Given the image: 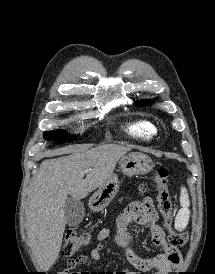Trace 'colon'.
I'll use <instances>...</instances> for the list:
<instances>
[{"mask_svg": "<svg viewBox=\"0 0 215 274\" xmlns=\"http://www.w3.org/2000/svg\"><path fill=\"white\" fill-rule=\"evenodd\" d=\"M169 171L164 165H160L155 174V185L157 188V201L159 210L164 218V225L169 230V242L176 246L182 247L187 243L188 237L183 232L175 231L172 227L174 204L168 185ZM89 241V237L84 233L76 230H68L65 235V241L62 248V254L66 257L72 256L83 248Z\"/></svg>", "mask_w": 215, "mask_h": 274, "instance_id": "1", "label": "colon"}]
</instances>
